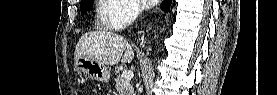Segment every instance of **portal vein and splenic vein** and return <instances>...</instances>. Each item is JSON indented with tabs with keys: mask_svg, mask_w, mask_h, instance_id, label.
<instances>
[{
	"mask_svg": "<svg viewBox=\"0 0 277 95\" xmlns=\"http://www.w3.org/2000/svg\"><path fill=\"white\" fill-rule=\"evenodd\" d=\"M122 76H123L124 78L128 79V80H131V79L134 77V74H133V72L130 71V70H124V71L122 72Z\"/></svg>",
	"mask_w": 277,
	"mask_h": 95,
	"instance_id": "1",
	"label": "portal vein and splenic vein"
}]
</instances>
